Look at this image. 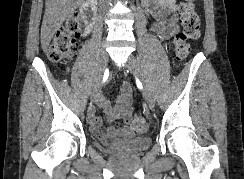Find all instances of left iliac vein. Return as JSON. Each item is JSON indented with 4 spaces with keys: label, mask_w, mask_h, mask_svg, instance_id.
<instances>
[{
    "label": "left iliac vein",
    "mask_w": 244,
    "mask_h": 179,
    "mask_svg": "<svg viewBox=\"0 0 244 179\" xmlns=\"http://www.w3.org/2000/svg\"><path fill=\"white\" fill-rule=\"evenodd\" d=\"M127 66L130 71L140 79L143 85V95L145 101L148 107L150 109H153L155 106V95L148 79L146 78L143 70L140 67L139 61L134 56L130 55L127 59Z\"/></svg>",
    "instance_id": "1"
}]
</instances>
